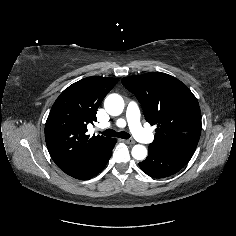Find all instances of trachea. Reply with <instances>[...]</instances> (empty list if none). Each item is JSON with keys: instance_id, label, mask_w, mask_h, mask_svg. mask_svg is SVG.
Returning <instances> with one entry per match:
<instances>
[{"instance_id": "3493384b", "label": "trachea", "mask_w": 236, "mask_h": 236, "mask_svg": "<svg viewBox=\"0 0 236 236\" xmlns=\"http://www.w3.org/2000/svg\"><path fill=\"white\" fill-rule=\"evenodd\" d=\"M102 134L107 136V137H119V138H122V139L130 138V134H128L127 132H116L113 129H107L104 132H102Z\"/></svg>"}]
</instances>
